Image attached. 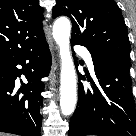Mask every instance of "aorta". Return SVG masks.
Here are the masks:
<instances>
[{"label": "aorta", "instance_id": "762f6f07", "mask_svg": "<svg viewBox=\"0 0 136 136\" xmlns=\"http://www.w3.org/2000/svg\"><path fill=\"white\" fill-rule=\"evenodd\" d=\"M71 23L60 17L53 25V37L59 46L61 57L60 108L63 115L73 113L76 105V72L70 53Z\"/></svg>", "mask_w": 136, "mask_h": 136}]
</instances>
